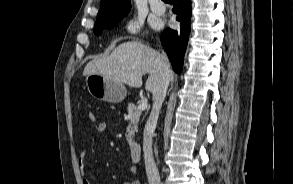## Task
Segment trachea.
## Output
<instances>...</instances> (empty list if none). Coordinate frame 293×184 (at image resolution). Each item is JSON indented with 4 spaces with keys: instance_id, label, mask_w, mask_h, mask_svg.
<instances>
[{
    "instance_id": "trachea-1",
    "label": "trachea",
    "mask_w": 293,
    "mask_h": 184,
    "mask_svg": "<svg viewBox=\"0 0 293 184\" xmlns=\"http://www.w3.org/2000/svg\"><path fill=\"white\" fill-rule=\"evenodd\" d=\"M162 1H164L165 3H170L171 2V0H162Z\"/></svg>"
}]
</instances>
